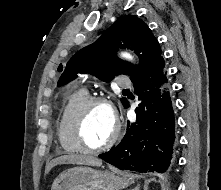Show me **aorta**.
Here are the masks:
<instances>
[{"label":"aorta","mask_w":221,"mask_h":190,"mask_svg":"<svg viewBox=\"0 0 221 190\" xmlns=\"http://www.w3.org/2000/svg\"><path fill=\"white\" fill-rule=\"evenodd\" d=\"M121 56L124 58V59H127V60H132V56L128 53H122Z\"/></svg>","instance_id":"762f6f07"}]
</instances>
